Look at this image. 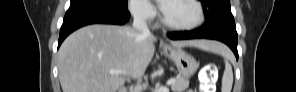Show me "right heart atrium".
<instances>
[{
  "label": "right heart atrium",
  "instance_id": "obj_1",
  "mask_svg": "<svg viewBox=\"0 0 296 92\" xmlns=\"http://www.w3.org/2000/svg\"><path fill=\"white\" fill-rule=\"evenodd\" d=\"M129 8L132 15L140 21L152 22L157 16L156 8L150 1L132 0Z\"/></svg>",
  "mask_w": 296,
  "mask_h": 92
}]
</instances>
